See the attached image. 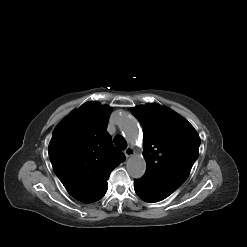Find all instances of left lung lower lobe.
<instances>
[{"instance_id": "0a47b994", "label": "left lung lower lobe", "mask_w": 247, "mask_h": 247, "mask_svg": "<svg viewBox=\"0 0 247 247\" xmlns=\"http://www.w3.org/2000/svg\"><path fill=\"white\" fill-rule=\"evenodd\" d=\"M134 189L142 200L150 203L161 201L169 196V194L160 191L144 178L134 180Z\"/></svg>"}]
</instances>
